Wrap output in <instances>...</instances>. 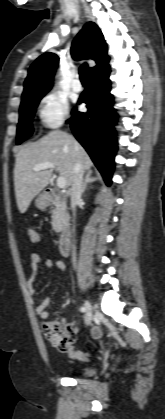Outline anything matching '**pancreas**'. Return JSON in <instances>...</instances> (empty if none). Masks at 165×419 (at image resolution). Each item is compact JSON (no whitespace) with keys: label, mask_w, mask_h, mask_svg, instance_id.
Listing matches in <instances>:
<instances>
[{"label":"pancreas","mask_w":165,"mask_h":419,"mask_svg":"<svg viewBox=\"0 0 165 419\" xmlns=\"http://www.w3.org/2000/svg\"><path fill=\"white\" fill-rule=\"evenodd\" d=\"M68 218V214L66 212V205L63 201H58L56 207L52 211V227L56 233L62 231L64 224Z\"/></svg>","instance_id":"pancreas-1"}]
</instances>
